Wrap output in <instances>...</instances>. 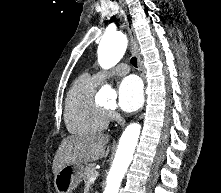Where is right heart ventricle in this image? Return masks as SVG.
I'll return each mask as SVG.
<instances>
[{"label": "right heart ventricle", "mask_w": 221, "mask_h": 193, "mask_svg": "<svg viewBox=\"0 0 221 193\" xmlns=\"http://www.w3.org/2000/svg\"><path fill=\"white\" fill-rule=\"evenodd\" d=\"M99 83L88 75L80 76L65 99V122L73 134H90L106 128L109 116L94 98Z\"/></svg>", "instance_id": "e07e8e85"}]
</instances>
